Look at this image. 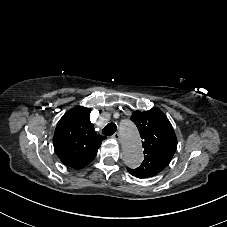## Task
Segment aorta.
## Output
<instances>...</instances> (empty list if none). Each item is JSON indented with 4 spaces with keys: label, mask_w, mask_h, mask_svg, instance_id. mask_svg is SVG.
I'll use <instances>...</instances> for the list:
<instances>
[{
    "label": "aorta",
    "mask_w": 227,
    "mask_h": 227,
    "mask_svg": "<svg viewBox=\"0 0 227 227\" xmlns=\"http://www.w3.org/2000/svg\"><path fill=\"white\" fill-rule=\"evenodd\" d=\"M124 163L130 168H137L144 159L141 139L136 126L126 121L120 126Z\"/></svg>",
    "instance_id": "762f6f07"
}]
</instances>
